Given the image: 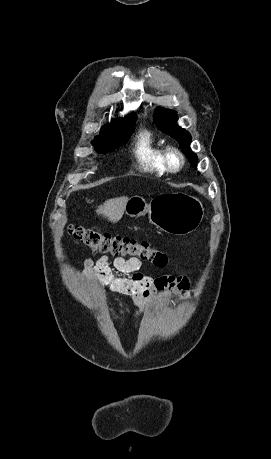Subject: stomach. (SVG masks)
<instances>
[{
	"instance_id": "obj_1",
	"label": "stomach",
	"mask_w": 271,
	"mask_h": 459,
	"mask_svg": "<svg viewBox=\"0 0 271 459\" xmlns=\"http://www.w3.org/2000/svg\"><path fill=\"white\" fill-rule=\"evenodd\" d=\"M125 214L130 218L145 216L156 228L174 233V235H186L200 226L204 208L197 198L188 194H160L146 204L143 198L134 196L126 204Z\"/></svg>"
}]
</instances>
